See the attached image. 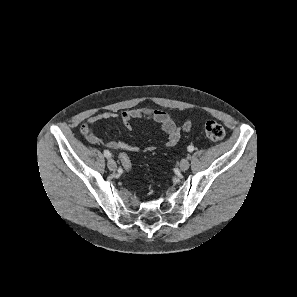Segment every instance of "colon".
I'll return each mask as SVG.
<instances>
[{"mask_svg":"<svg viewBox=\"0 0 297 297\" xmlns=\"http://www.w3.org/2000/svg\"><path fill=\"white\" fill-rule=\"evenodd\" d=\"M83 132H87V128L84 125L83 126ZM204 132L206 136L212 140V141H220L225 136V129L224 127L216 122V121H208L205 125ZM119 160L123 165V170L125 172H130L132 170V164L130 163V158L128 157V154L126 152H121L119 154Z\"/></svg>","mask_w":297,"mask_h":297,"instance_id":"colon-1","label":"colon"}]
</instances>
